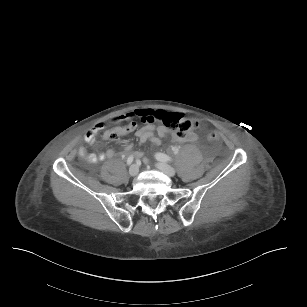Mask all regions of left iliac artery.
<instances>
[{"label":"left iliac artery","mask_w":307,"mask_h":307,"mask_svg":"<svg viewBox=\"0 0 307 307\" xmlns=\"http://www.w3.org/2000/svg\"><path fill=\"white\" fill-rule=\"evenodd\" d=\"M178 151H175V153H177ZM156 159L162 162H169L172 161V158L166 154L163 153H157L155 155Z\"/></svg>","instance_id":"44dca946"}]
</instances>
